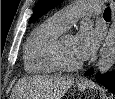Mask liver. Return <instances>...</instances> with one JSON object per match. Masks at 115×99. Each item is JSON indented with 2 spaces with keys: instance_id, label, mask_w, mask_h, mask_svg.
Here are the masks:
<instances>
[{
  "instance_id": "1",
  "label": "liver",
  "mask_w": 115,
  "mask_h": 99,
  "mask_svg": "<svg viewBox=\"0 0 115 99\" xmlns=\"http://www.w3.org/2000/svg\"><path fill=\"white\" fill-rule=\"evenodd\" d=\"M74 85V78L63 76H39L20 79L14 93L17 99H61Z\"/></svg>"
}]
</instances>
